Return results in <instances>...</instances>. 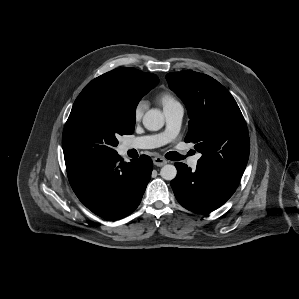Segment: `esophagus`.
I'll use <instances>...</instances> for the list:
<instances>
[{
    "instance_id": "obj_1",
    "label": "esophagus",
    "mask_w": 299,
    "mask_h": 299,
    "mask_svg": "<svg viewBox=\"0 0 299 299\" xmlns=\"http://www.w3.org/2000/svg\"><path fill=\"white\" fill-rule=\"evenodd\" d=\"M153 163H154V165L161 167L167 163V160L162 157H154Z\"/></svg>"
}]
</instances>
